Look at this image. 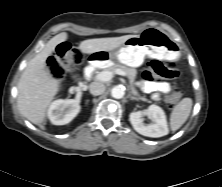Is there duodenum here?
Instances as JSON below:
<instances>
[{"instance_id":"obj_1","label":"duodenum","mask_w":222,"mask_h":187,"mask_svg":"<svg viewBox=\"0 0 222 187\" xmlns=\"http://www.w3.org/2000/svg\"><path fill=\"white\" fill-rule=\"evenodd\" d=\"M97 65V62H92L90 65H88L84 71V78L85 79H90L92 74H93V71H94V68L95 66ZM85 85V82L84 81H80L77 86L80 87V88H83Z\"/></svg>"}]
</instances>
